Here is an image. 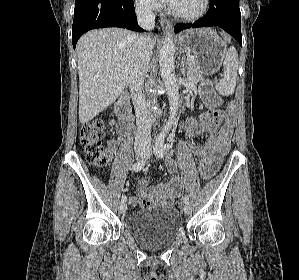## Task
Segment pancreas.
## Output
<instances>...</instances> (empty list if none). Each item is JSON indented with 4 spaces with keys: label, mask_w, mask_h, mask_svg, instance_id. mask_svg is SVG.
<instances>
[{
    "label": "pancreas",
    "mask_w": 299,
    "mask_h": 280,
    "mask_svg": "<svg viewBox=\"0 0 299 280\" xmlns=\"http://www.w3.org/2000/svg\"><path fill=\"white\" fill-rule=\"evenodd\" d=\"M185 67H186V76L187 79L190 81V83L197 84L201 81H204V77L195 59L192 61H187L185 63Z\"/></svg>",
    "instance_id": "cf45deb5"
}]
</instances>
